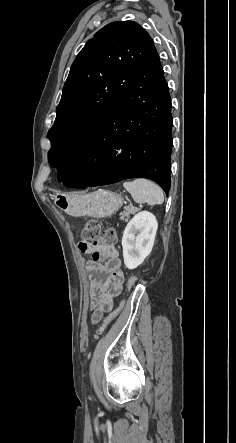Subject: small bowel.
Returning <instances> with one entry per match:
<instances>
[{
  "mask_svg": "<svg viewBox=\"0 0 236 443\" xmlns=\"http://www.w3.org/2000/svg\"><path fill=\"white\" fill-rule=\"evenodd\" d=\"M82 252L90 253L92 260L88 261L86 268L92 279L89 294L92 306L97 308L93 315L96 322L104 312L113 309L115 298L120 293L125 279L118 251L111 244H85Z\"/></svg>",
  "mask_w": 236,
  "mask_h": 443,
  "instance_id": "c3829d8e",
  "label": "small bowel"
}]
</instances>
